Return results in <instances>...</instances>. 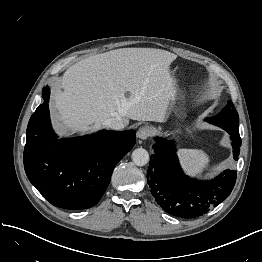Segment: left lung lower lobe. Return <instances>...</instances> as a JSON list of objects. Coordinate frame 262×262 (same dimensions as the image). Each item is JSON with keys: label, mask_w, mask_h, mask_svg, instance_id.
<instances>
[{"label": "left lung lower lobe", "mask_w": 262, "mask_h": 262, "mask_svg": "<svg viewBox=\"0 0 262 262\" xmlns=\"http://www.w3.org/2000/svg\"><path fill=\"white\" fill-rule=\"evenodd\" d=\"M223 129L233 139V158L237 160L239 129ZM153 148L147 181L152 196L167 213L181 218L199 217L230 195L236 181L235 170L227 169L211 180L190 178L180 167L173 141L157 137Z\"/></svg>", "instance_id": "0a47b994"}]
</instances>
